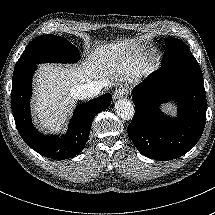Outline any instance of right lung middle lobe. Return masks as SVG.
<instances>
[{"instance_id": "1", "label": "right lung middle lobe", "mask_w": 215, "mask_h": 215, "mask_svg": "<svg viewBox=\"0 0 215 215\" xmlns=\"http://www.w3.org/2000/svg\"><path fill=\"white\" fill-rule=\"evenodd\" d=\"M79 59L78 49L65 38L51 34L42 35L26 47L15 65V70L46 62L74 63Z\"/></svg>"}]
</instances>
